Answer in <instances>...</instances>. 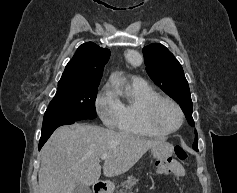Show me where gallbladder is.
Wrapping results in <instances>:
<instances>
[{"mask_svg": "<svg viewBox=\"0 0 237 193\" xmlns=\"http://www.w3.org/2000/svg\"><path fill=\"white\" fill-rule=\"evenodd\" d=\"M73 193H91V189L82 183H77Z\"/></svg>", "mask_w": 237, "mask_h": 193, "instance_id": "1", "label": "gallbladder"}]
</instances>
